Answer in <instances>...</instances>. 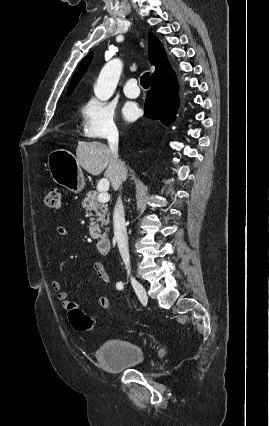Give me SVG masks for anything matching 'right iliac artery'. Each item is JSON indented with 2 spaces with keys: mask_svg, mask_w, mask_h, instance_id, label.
<instances>
[{
  "mask_svg": "<svg viewBox=\"0 0 269 426\" xmlns=\"http://www.w3.org/2000/svg\"><path fill=\"white\" fill-rule=\"evenodd\" d=\"M117 288H118V289H122V288H123V285H122V284H120V283H118V284H117Z\"/></svg>",
  "mask_w": 269,
  "mask_h": 426,
  "instance_id": "obj_1",
  "label": "right iliac artery"
}]
</instances>
